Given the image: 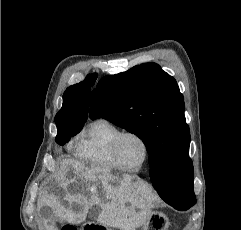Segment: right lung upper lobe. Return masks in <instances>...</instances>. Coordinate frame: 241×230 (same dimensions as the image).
Wrapping results in <instances>:
<instances>
[{
  "label": "right lung upper lobe",
  "instance_id": "cb5924a9",
  "mask_svg": "<svg viewBox=\"0 0 241 230\" xmlns=\"http://www.w3.org/2000/svg\"><path fill=\"white\" fill-rule=\"evenodd\" d=\"M97 74H89L80 83L68 87L63 94V106L55 117L56 125L73 124L82 126L87 120L91 86Z\"/></svg>",
  "mask_w": 241,
  "mask_h": 230
}]
</instances>
